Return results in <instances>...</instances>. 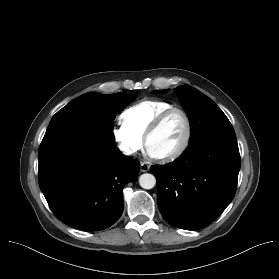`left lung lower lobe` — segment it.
I'll return each mask as SVG.
<instances>
[{"instance_id": "obj_1", "label": "left lung lower lobe", "mask_w": 279, "mask_h": 279, "mask_svg": "<svg viewBox=\"0 0 279 279\" xmlns=\"http://www.w3.org/2000/svg\"><path fill=\"white\" fill-rule=\"evenodd\" d=\"M240 165L236 135L217 134L190 144L173 163L151 166L161 214L180 229L208 226L232 201Z\"/></svg>"}]
</instances>
